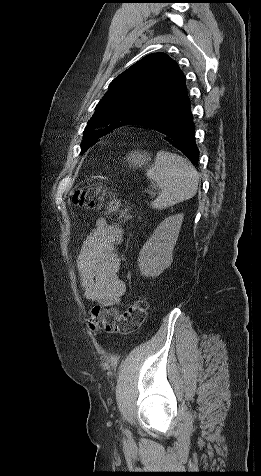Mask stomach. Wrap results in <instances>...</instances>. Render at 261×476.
I'll return each mask as SVG.
<instances>
[{"mask_svg": "<svg viewBox=\"0 0 261 476\" xmlns=\"http://www.w3.org/2000/svg\"><path fill=\"white\" fill-rule=\"evenodd\" d=\"M150 160V155L147 152L132 151L127 156V161L130 166L141 167Z\"/></svg>", "mask_w": 261, "mask_h": 476, "instance_id": "0dacf381", "label": "stomach"}]
</instances>
